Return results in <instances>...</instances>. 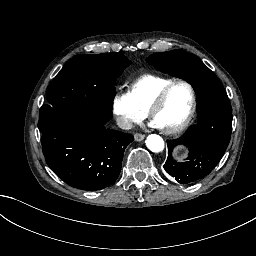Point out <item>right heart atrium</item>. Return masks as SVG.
Returning <instances> with one entry per match:
<instances>
[{
    "label": "right heart atrium",
    "mask_w": 256,
    "mask_h": 256,
    "mask_svg": "<svg viewBox=\"0 0 256 256\" xmlns=\"http://www.w3.org/2000/svg\"><path fill=\"white\" fill-rule=\"evenodd\" d=\"M131 98L132 97H131L130 93H125L123 95H117L115 97L113 114L115 116L120 117L117 114L116 106L127 104L131 100ZM123 118H124V121L126 124L137 123V122L141 121V119H142V112L135 111V110H129L128 113L125 116H123Z\"/></svg>",
    "instance_id": "obj_1"
}]
</instances>
